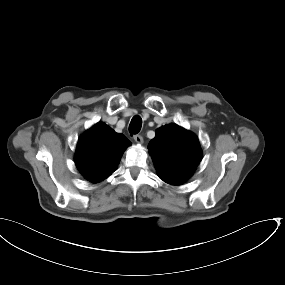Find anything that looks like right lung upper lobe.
Returning a JSON list of instances; mask_svg holds the SVG:
<instances>
[{
	"label": "right lung upper lobe",
	"instance_id": "obj_1",
	"mask_svg": "<svg viewBox=\"0 0 285 285\" xmlns=\"http://www.w3.org/2000/svg\"><path fill=\"white\" fill-rule=\"evenodd\" d=\"M130 144L123 134L98 122L80 137L75 164L88 181L98 183L117 169L124 150Z\"/></svg>",
	"mask_w": 285,
	"mask_h": 285
}]
</instances>
